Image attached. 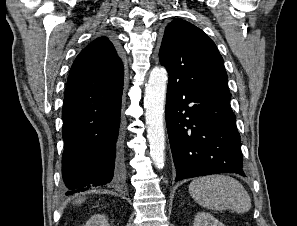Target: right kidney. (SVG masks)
<instances>
[{
  "label": "right kidney",
  "instance_id": "ca27d5eb",
  "mask_svg": "<svg viewBox=\"0 0 297 226\" xmlns=\"http://www.w3.org/2000/svg\"><path fill=\"white\" fill-rule=\"evenodd\" d=\"M85 226H110L104 215H93Z\"/></svg>",
  "mask_w": 297,
  "mask_h": 226
}]
</instances>
